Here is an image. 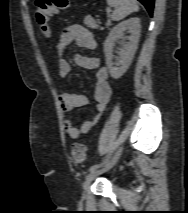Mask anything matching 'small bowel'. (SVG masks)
Wrapping results in <instances>:
<instances>
[{"mask_svg":"<svg viewBox=\"0 0 188 213\" xmlns=\"http://www.w3.org/2000/svg\"><path fill=\"white\" fill-rule=\"evenodd\" d=\"M76 43L77 46L88 50H93L96 47V41L92 33L79 24H72L65 27L59 37L57 44L58 50V72L61 76H67L71 71V65L65 58L67 47ZM76 63L82 68L95 71V110L96 115L93 119L83 122L80 128L73 125L70 117L65 116L63 125L65 132L71 139H78L81 134H87L98 122L101 115L106 110L109 103L112 89L108 82V71L100 64L97 57H90L77 54L75 56ZM59 103L64 113H69L75 108L83 107L88 104V98L84 94L63 92L59 94Z\"/></svg>","mask_w":188,"mask_h":213,"instance_id":"c3829d8e","label":"small bowel"}]
</instances>
